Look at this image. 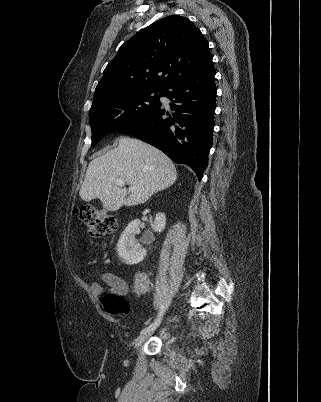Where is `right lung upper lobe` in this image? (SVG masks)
<instances>
[{"label": "right lung upper lobe", "mask_w": 321, "mask_h": 402, "mask_svg": "<svg viewBox=\"0 0 321 402\" xmlns=\"http://www.w3.org/2000/svg\"><path fill=\"white\" fill-rule=\"evenodd\" d=\"M209 46L188 18H162L126 41L107 65L93 103L147 89H165L176 79L212 64Z\"/></svg>", "instance_id": "obj_1"}]
</instances>
